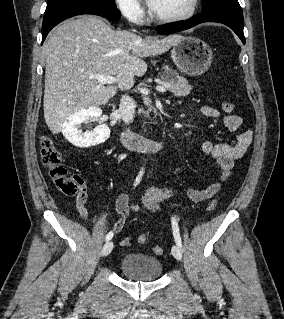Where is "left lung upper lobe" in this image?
<instances>
[{
  "label": "left lung upper lobe",
  "instance_id": "obj_1",
  "mask_svg": "<svg viewBox=\"0 0 284 319\" xmlns=\"http://www.w3.org/2000/svg\"><path fill=\"white\" fill-rule=\"evenodd\" d=\"M221 7L241 8L238 0H203V12L211 11Z\"/></svg>",
  "mask_w": 284,
  "mask_h": 319
}]
</instances>
